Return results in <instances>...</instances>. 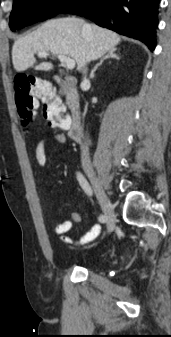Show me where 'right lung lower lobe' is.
I'll use <instances>...</instances> for the list:
<instances>
[{
    "label": "right lung lower lobe",
    "instance_id": "obj_1",
    "mask_svg": "<svg viewBox=\"0 0 171 337\" xmlns=\"http://www.w3.org/2000/svg\"><path fill=\"white\" fill-rule=\"evenodd\" d=\"M158 5L159 0H76L60 12L84 16L101 27L142 41L153 51Z\"/></svg>",
    "mask_w": 171,
    "mask_h": 337
}]
</instances>
